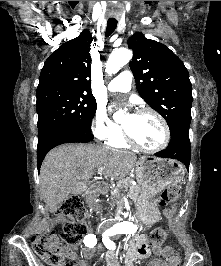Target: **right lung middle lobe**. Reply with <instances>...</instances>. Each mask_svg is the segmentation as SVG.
<instances>
[{
	"label": "right lung middle lobe",
	"instance_id": "dd1d6c3e",
	"mask_svg": "<svg viewBox=\"0 0 221 266\" xmlns=\"http://www.w3.org/2000/svg\"><path fill=\"white\" fill-rule=\"evenodd\" d=\"M38 113V141L63 129H77L91 133L96 112L95 98L88 93L46 88L36 92Z\"/></svg>",
	"mask_w": 221,
	"mask_h": 266
}]
</instances>
